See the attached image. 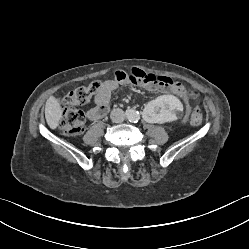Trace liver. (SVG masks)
Masks as SVG:
<instances>
[{
    "label": "liver",
    "instance_id": "liver-1",
    "mask_svg": "<svg viewBox=\"0 0 249 249\" xmlns=\"http://www.w3.org/2000/svg\"><path fill=\"white\" fill-rule=\"evenodd\" d=\"M46 122L51 129H56L62 118V109L58 100L54 96H50L45 105Z\"/></svg>",
    "mask_w": 249,
    "mask_h": 249
}]
</instances>
